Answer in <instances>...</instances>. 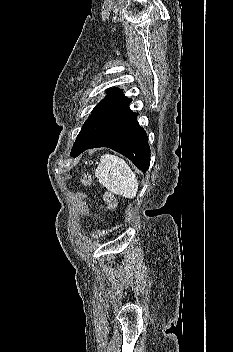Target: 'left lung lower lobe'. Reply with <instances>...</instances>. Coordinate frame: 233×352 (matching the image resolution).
<instances>
[{
    "instance_id": "0a47b994",
    "label": "left lung lower lobe",
    "mask_w": 233,
    "mask_h": 352,
    "mask_svg": "<svg viewBox=\"0 0 233 352\" xmlns=\"http://www.w3.org/2000/svg\"><path fill=\"white\" fill-rule=\"evenodd\" d=\"M137 113H130L107 128L71 155L76 157L91 148L108 147L130 159L139 170L147 171L150 148L147 134L137 122Z\"/></svg>"
}]
</instances>
